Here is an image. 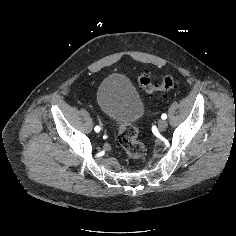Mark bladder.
Here are the masks:
<instances>
[{"mask_svg":"<svg viewBox=\"0 0 236 236\" xmlns=\"http://www.w3.org/2000/svg\"><path fill=\"white\" fill-rule=\"evenodd\" d=\"M97 102L101 110L116 124H135L145 113L144 103L122 74H112L97 88Z\"/></svg>","mask_w":236,"mask_h":236,"instance_id":"31cf9c89","label":"bladder"}]
</instances>
